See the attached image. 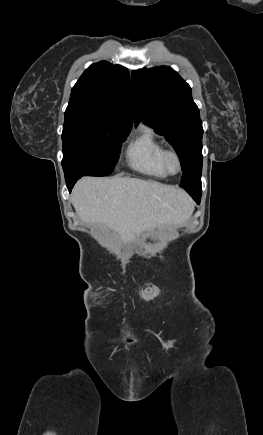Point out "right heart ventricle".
I'll return each mask as SVG.
<instances>
[{"label":"right heart ventricle","mask_w":263,"mask_h":435,"mask_svg":"<svg viewBox=\"0 0 263 435\" xmlns=\"http://www.w3.org/2000/svg\"><path fill=\"white\" fill-rule=\"evenodd\" d=\"M164 146L153 128L143 125L129 143L126 155L130 167L147 176L163 179L168 176L162 165Z\"/></svg>","instance_id":"right-heart-ventricle-1"}]
</instances>
